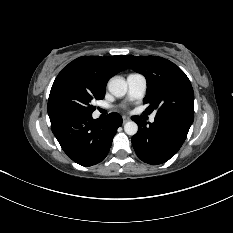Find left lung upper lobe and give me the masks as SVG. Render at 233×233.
<instances>
[{"label": "left lung upper lobe", "instance_id": "left-lung-upper-lobe-1", "mask_svg": "<svg viewBox=\"0 0 233 233\" xmlns=\"http://www.w3.org/2000/svg\"><path fill=\"white\" fill-rule=\"evenodd\" d=\"M123 59L135 72L145 76L147 93L145 113L176 117L192 123L194 92L186 74L171 61L156 56H128Z\"/></svg>", "mask_w": 233, "mask_h": 233}]
</instances>
